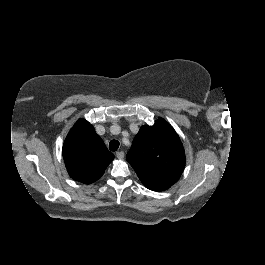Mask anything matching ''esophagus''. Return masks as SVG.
Returning <instances> with one entry per match:
<instances>
[{
    "label": "esophagus",
    "instance_id": "obj_1",
    "mask_svg": "<svg viewBox=\"0 0 265 265\" xmlns=\"http://www.w3.org/2000/svg\"><path fill=\"white\" fill-rule=\"evenodd\" d=\"M116 156L119 160H122L124 158V152L123 151H118L116 153Z\"/></svg>",
    "mask_w": 265,
    "mask_h": 265
}]
</instances>
